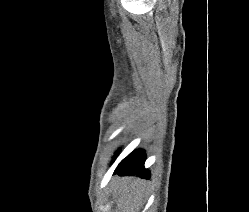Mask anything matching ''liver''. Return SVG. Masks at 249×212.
<instances>
[{
  "label": "liver",
  "mask_w": 249,
  "mask_h": 212,
  "mask_svg": "<svg viewBox=\"0 0 249 212\" xmlns=\"http://www.w3.org/2000/svg\"><path fill=\"white\" fill-rule=\"evenodd\" d=\"M113 198L118 212H139L145 198V182L140 178H117L113 182Z\"/></svg>",
  "instance_id": "obj_1"
}]
</instances>
